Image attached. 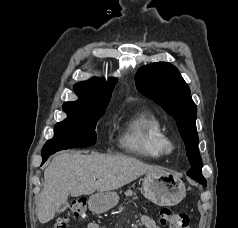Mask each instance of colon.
<instances>
[{
	"mask_svg": "<svg viewBox=\"0 0 238 228\" xmlns=\"http://www.w3.org/2000/svg\"><path fill=\"white\" fill-rule=\"evenodd\" d=\"M86 211V200L84 198H78L70 205L69 212L57 219L52 228H66L67 224L71 220H80L85 216ZM160 223L167 228H189L190 220L188 215L184 213H177L171 211L169 208H161L160 212Z\"/></svg>",
	"mask_w": 238,
	"mask_h": 228,
	"instance_id": "obj_1",
	"label": "colon"
}]
</instances>
